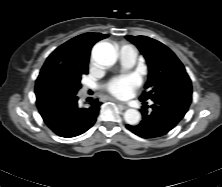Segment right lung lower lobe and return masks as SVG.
<instances>
[{
	"instance_id": "1",
	"label": "right lung lower lobe",
	"mask_w": 222,
	"mask_h": 187,
	"mask_svg": "<svg viewBox=\"0 0 222 187\" xmlns=\"http://www.w3.org/2000/svg\"><path fill=\"white\" fill-rule=\"evenodd\" d=\"M35 94L43 121L61 137L70 138L86 132L99 114L101 103L97 99L87 108L78 106L77 91L55 67L41 70Z\"/></svg>"
}]
</instances>
